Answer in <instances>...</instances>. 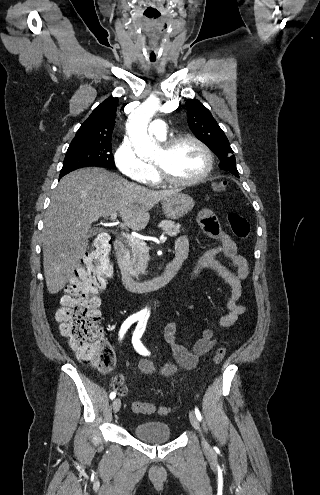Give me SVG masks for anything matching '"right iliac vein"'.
Listing matches in <instances>:
<instances>
[{"label": "right iliac vein", "mask_w": 320, "mask_h": 495, "mask_svg": "<svg viewBox=\"0 0 320 495\" xmlns=\"http://www.w3.org/2000/svg\"><path fill=\"white\" fill-rule=\"evenodd\" d=\"M113 411L114 413H118L120 408H121V400L119 398H116L114 401H113Z\"/></svg>", "instance_id": "1"}]
</instances>
